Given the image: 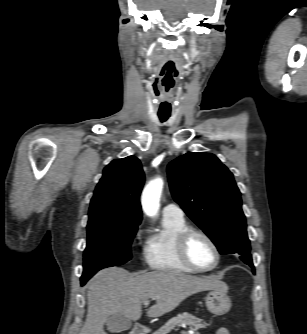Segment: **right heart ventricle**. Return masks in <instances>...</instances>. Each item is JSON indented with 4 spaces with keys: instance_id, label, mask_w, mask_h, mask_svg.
Wrapping results in <instances>:
<instances>
[{
    "instance_id": "obj_1",
    "label": "right heart ventricle",
    "mask_w": 307,
    "mask_h": 334,
    "mask_svg": "<svg viewBox=\"0 0 307 334\" xmlns=\"http://www.w3.org/2000/svg\"><path fill=\"white\" fill-rule=\"evenodd\" d=\"M185 220L163 217L162 228L152 233L144 247V259L153 270L171 273H194L180 259L176 242L178 235L187 229Z\"/></svg>"
}]
</instances>
